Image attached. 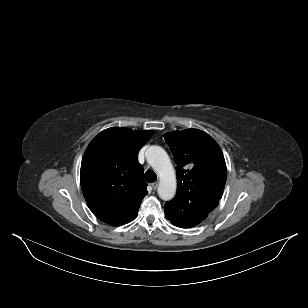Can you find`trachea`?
I'll return each mask as SVG.
<instances>
[{
    "label": "trachea",
    "mask_w": 308,
    "mask_h": 308,
    "mask_svg": "<svg viewBox=\"0 0 308 308\" xmlns=\"http://www.w3.org/2000/svg\"><path fill=\"white\" fill-rule=\"evenodd\" d=\"M157 179V175L154 171L152 170H147L145 172V180L148 182V183H153L155 180Z\"/></svg>",
    "instance_id": "3493384b"
}]
</instances>
